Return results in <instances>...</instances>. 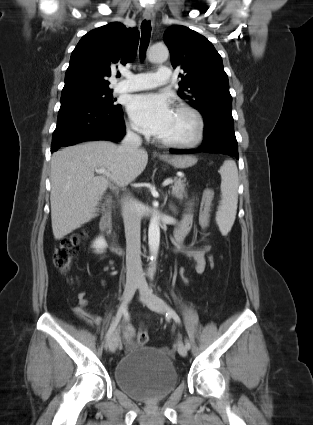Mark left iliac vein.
<instances>
[{"label": "left iliac vein", "mask_w": 313, "mask_h": 425, "mask_svg": "<svg viewBox=\"0 0 313 425\" xmlns=\"http://www.w3.org/2000/svg\"><path fill=\"white\" fill-rule=\"evenodd\" d=\"M138 288L141 293V300L148 308L161 314L166 312L167 308L165 303L152 293L146 282H140ZM177 349L181 356L187 355L188 349L181 341L178 342Z\"/></svg>", "instance_id": "1"}]
</instances>
